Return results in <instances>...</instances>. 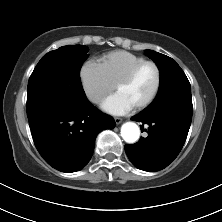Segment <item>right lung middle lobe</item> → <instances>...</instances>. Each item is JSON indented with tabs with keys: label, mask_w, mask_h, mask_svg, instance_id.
Returning a JSON list of instances; mask_svg holds the SVG:
<instances>
[{
	"label": "right lung middle lobe",
	"mask_w": 222,
	"mask_h": 222,
	"mask_svg": "<svg viewBox=\"0 0 222 222\" xmlns=\"http://www.w3.org/2000/svg\"><path fill=\"white\" fill-rule=\"evenodd\" d=\"M89 49L63 46L44 55L28 82L27 110L39 106L74 107L87 100L80 69Z\"/></svg>",
	"instance_id": "obj_1"
}]
</instances>
